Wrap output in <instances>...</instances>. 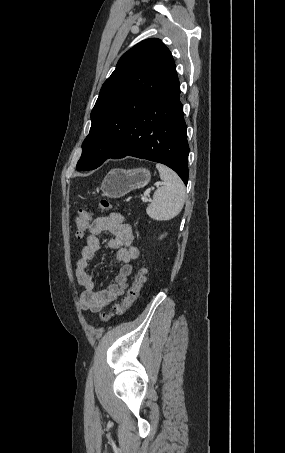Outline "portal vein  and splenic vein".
Returning <instances> with one entry per match:
<instances>
[{
  "mask_svg": "<svg viewBox=\"0 0 285 453\" xmlns=\"http://www.w3.org/2000/svg\"><path fill=\"white\" fill-rule=\"evenodd\" d=\"M159 184H163V183H158L157 186H159ZM151 190H152V189H148V190L145 192L144 196L141 197V200H142L143 202H148V201H150V200L147 198V195L150 193Z\"/></svg>",
  "mask_w": 285,
  "mask_h": 453,
  "instance_id": "1",
  "label": "portal vein and splenic vein"
}]
</instances>
